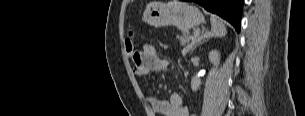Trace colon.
Listing matches in <instances>:
<instances>
[{
  "label": "colon",
  "instance_id": "colon-1",
  "mask_svg": "<svg viewBox=\"0 0 305 116\" xmlns=\"http://www.w3.org/2000/svg\"><path fill=\"white\" fill-rule=\"evenodd\" d=\"M135 38H136V32L134 30H130L127 38L125 39L126 54L133 60L137 57L138 54V52H136L134 48Z\"/></svg>",
  "mask_w": 305,
  "mask_h": 116
}]
</instances>
